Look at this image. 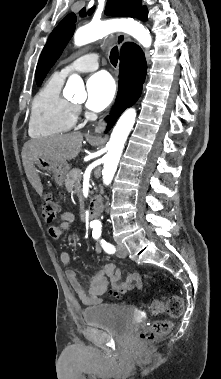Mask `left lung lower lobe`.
Returning a JSON list of instances; mask_svg holds the SVG:
<instances>
[{
  "instance_id": "1",
  "label": "left lung lower lobe",
  "mask_w": 221,
  "mask_h": 379,
  "mask_svg": "<svg viewBox=\"0 0 221 379\" xmlns=\"http://www.w3.org/2000/svg\"><path fill=\"white\" fill-rule=\"evenodd\" d=\"M147 18V11L144 13V15L142 16L141 20H145Z\"/></svg>"
}]
</instances>
